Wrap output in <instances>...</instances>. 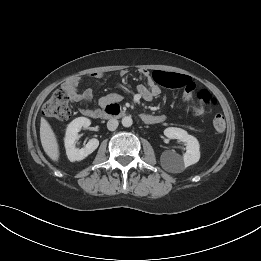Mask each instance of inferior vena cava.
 <instances>
[{
	"mask_svg": "<svg viewBox=\"0 0 261 261\" xmlns=\"http://www.w3.org/2000/svg\"><path fill=\"white\" fill-rule=\"evenodd\" d=\"M118 120L117 119H110L108 122H107V128L108 130L110 131H114L116 130V128L118 127Z\"/></svg>",
	"mask_w": 261,
	"mask_h": 261,
	"instance_id": "602c4592",
	"label": "inferior vena cava"
}]
</instances>
